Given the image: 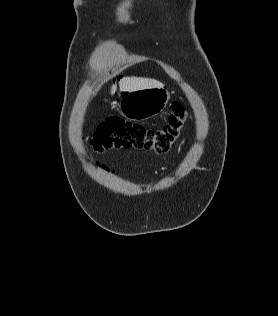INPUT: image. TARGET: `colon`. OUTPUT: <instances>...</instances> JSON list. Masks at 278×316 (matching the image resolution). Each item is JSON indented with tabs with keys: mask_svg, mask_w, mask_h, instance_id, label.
<instances>
[{
	"mask_svg": "<svg viewBox=\"0 0 278 316\" xmlns=\"http://www.w3.org/2000/svg\"><path fill=\"white\" fill-rule=\"evenodd\" d=\"M186 119L187 112L179 102L173 103L167 123L157 130L117 116H109L97 125L91 144L99 153L110 149L132 148L164 154L179 139Z\"/></svg>",
	"mask_w": 278,
	"mask_h": 316,
	"instance_id": "colon-1",
	"label": "colon"
}]
</instances>
